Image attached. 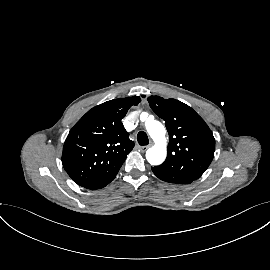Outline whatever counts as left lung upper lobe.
Returning <instances> with one entry per match:
<instances>
[{"mask_svg":"<svg viewBox=\"0 0 270 270\" xmlns=\"http://www.w3.org/2000/svg\"><path fill=\"white\" fill-rule=\"evenodd\" d=\"M151 109L165 121L170 141L167 158L157 168L198 179L210 165L214 136L204 120L188 105L160 96L148 97Z\"/></svg>","mask_w":270,"mask_h":270,"instance_id":"left-lung-upper-lobe-1","label":"left lung upper lobe"}]
</instances>
